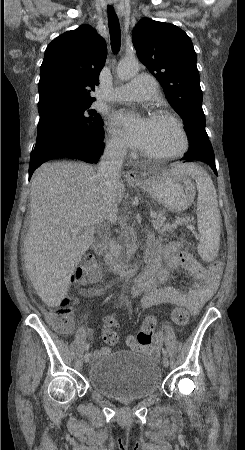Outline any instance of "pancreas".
Here are the masks:
<instances>
[{"mask_svg": "<svg viewBox=\"0 0 245 450\" xmlns=\"http://www.w3.org/2000/svg\"><path fill=\"white\" fill-rule=\"evenodd\" d=\"M165 217L162 215H157L156 218L152 220L153 227L160 234H166V232L171 233L173 229H176L179 224H188L190 221L189 217L178 218L175 223L169 224L165 223ZM135 235L132 228H127L122 232V238L120 239V244L117 246V254L121 251H126V257L129 258L135 251Z\"/></svg>", "mask_w": 245, "mask_h": 450, "instance_id": "pancreas-1", "label": "pancreas"}]
</instances>
